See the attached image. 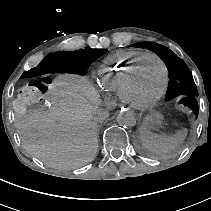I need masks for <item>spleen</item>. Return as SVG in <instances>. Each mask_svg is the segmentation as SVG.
Wrapping results in <instances>:
<instances>
[{
	"label": "spleen",
	"mask_w": 211,
	"mask_h": 211,
	"mask_svg": "<svg viewBox=\"0 0 211 211\" xmlns=\"http://www.w3.org/2000/svg\"><path fill=\"white\" fill-rule=\"evenodd\" d=\"M140 132L142 133V142L144 147L152 152L162 153L173 147L175 144L183 140L186 132L181 130L178 132V136H163L151 132L143 127Z\"/></svg>",
	"instance_id": "1"
}]
</instances>
